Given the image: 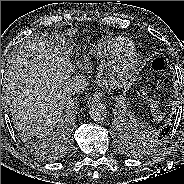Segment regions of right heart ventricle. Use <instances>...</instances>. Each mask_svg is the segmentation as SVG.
<instances>
[{"instance_id": "e07e8e85", "label": "right heart ventricle", "mask_w": 184, "mask_h": 184, "mask_svg": "<svg viewBox=\"0 0 184 184\" xmlns=\"http://www.w3.org/2000/svg\"><path fill=\"white\" fill-rule=\"evenodd\" d=\"M132 48L131 43L125 39H116L109 44L103 46L98 51V57L100 58H114L122 54L127 53Z\"/></svg>"}]
</instances>
